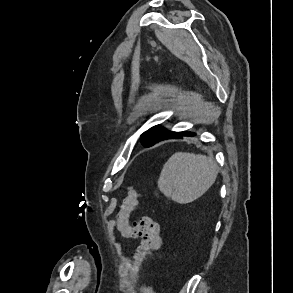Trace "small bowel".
<instances>
[{
	"label": "small bowel",
	"mask_w": 293,
	"mask_h": 293,
	"mask_svg": "<svg viewBox=\"0 0 293 293\" xmlns=\"http://www.w3.org/2000/svg\"><path fill=\"white\" fill-rule=\"evenodd\" d=\"M125 248L128 250V247L125 245Z\"/></svg>",
	"instance_id": "c3829d8e"
}]
</instances>
